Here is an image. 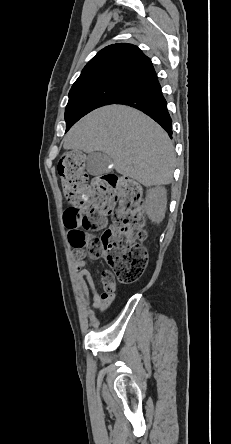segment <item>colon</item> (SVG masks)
<instances>
[{
    "mask_svg": "<svg viewBox=\"0 0 231 444\" xmlns=\"http://www.w3.org/2000/svg\"><path fill=\"white\" fill-rule=\"evenodd\" d=\"M84 155L69 151L61 155L58 172L69 207L64 212L68 230L83 234L84 254L91 260L104 257L110 270L103 271L105 293H113L118 283H132L144 273L148 254L145 237L143 198L133 179L105 174L88 180ZM112 214L113 225L101 236L87 235L105 227Z\"/></svg>",
    "mask_w": 231,
    "mask_h": 444,
    "instance_id": "colon-1",
    "label": "colon"
}]
</instances>
